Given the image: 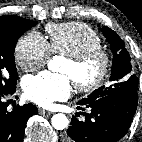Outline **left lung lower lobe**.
I'll list each match as a JSON object with an SVG mask.
<instances>
[{
    "mask_svg": "<svg viewBox=\"0 0 142 142\" xmlns=\"http://www.w3.org/2000/svg\"><path fill=\"white\" fill-rule=\"evenodd\" d=\"M138 102L137 89H128L81 103L91 109L85 120L72 117L64 142H116L128 131ZM80 108V107H78Z\"/></svg>",
    "mask_w": 142,
    "mask_h": 142,
    "instance_id": "0a47b994",
    "label": "left lung lower lobe"
}]
</instances>
